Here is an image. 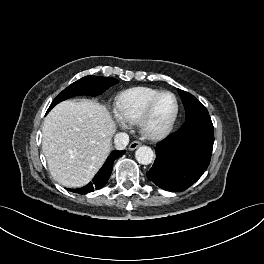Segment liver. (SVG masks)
I'll return each instance as SVG.
<instances>
[{
  "label": "liver",
  "instance_id": "1",
  "mask_svg": "<svg viewBox=\"0 0 264 264\" xmlns=\"http://www.w3.org/2000/svg\"><path fill=\"white\" fill-rule=\"evenodd\" d=\"M116 124L106 107L94 101L66 100L42 126V149L52 177L61 185H86L101 168Z\"/></svg>",
  "mask_w": 264,
  "mask_h": 264
}]
</instances>
